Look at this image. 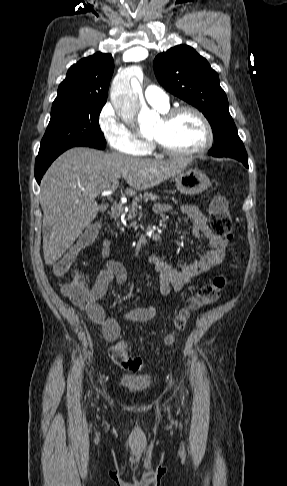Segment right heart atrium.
I'll return each mask as SVG.
<instances>
[{
    "instance_id": "1",
    "label": "right heart atrium",
    "mask_w": 287,
    "mask_h": 486,
    "mask_svg": "<svg viewBox=\"0 0 287 486\" xmlns=\"http://www.w3.org/2000/svg\"><path fill=\"white\" fill-rule=\"evenodd\" d=\"M98 126L104 139L117 152L138 155L147 146V143L121 119L111 103H106L101 108Z\"/></svg>"
}]
</instances>
